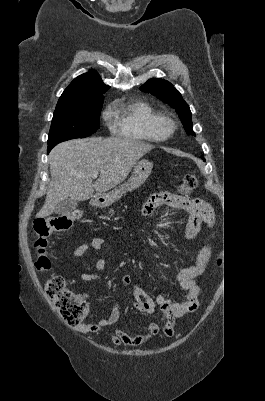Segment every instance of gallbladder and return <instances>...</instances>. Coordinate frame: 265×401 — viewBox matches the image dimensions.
Listing matches in <instances>:
<instances>
[{
    "label": "gallbladder",
    "instance_id": "1",
    "mask_svg": "<svg viewBox=\"0 0 265 401\" xmlns=\"http://www.w3.org/2000/svg\"><path fill=\"white\" fill-rule=\"evenodd\" d=\"M76 207H78V201H73V198H65V201H60L56 205L54 213H57V215H68V213H73Z\"/></svg>",
    "mask_w": 265,
    "mask_h": 401
}]
</instances>
